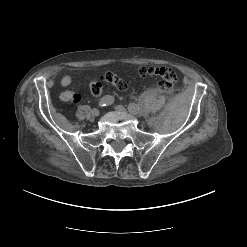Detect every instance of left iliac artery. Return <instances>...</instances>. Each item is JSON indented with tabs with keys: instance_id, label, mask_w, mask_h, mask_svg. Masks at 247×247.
Instances as JSON below:
<instances>
[{
	"instance_id": "44dca946",
	"label": "left iliac artery",
	"mask_w": 247,
	"mask_h": 247,
	"mask_svg": "<svg viewBox=\"0 0 247 247\" xmlns=\"http://www.w3.org/2000/svg\"><path fill=\"white\" fill-rule=\"evenodd\" d=\"M128 110L132 114H138L140 112V107L136 104H130Z\"/></svg>"
}]
</instances>
